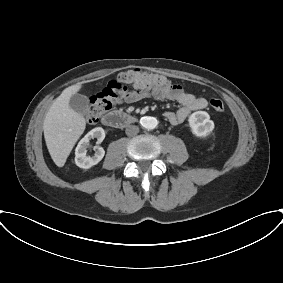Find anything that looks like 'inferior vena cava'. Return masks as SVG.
Returning a JSON list of instances; mask_svg holds the SVG:
<instances>
[{
	"instance_id": "inferior-vena-cava-1",
	"label": "inferior vena cava",
	"mask_w": 283,
	"mask_h": 283,
	"mask_svg": "<svg viewBox=\"0 0 283 283\" xmlns=\"http://www.w3.org/2000/svg\"><path fill=\"white\" fill-rule=\"evenodd\" d=\"M138 132H139V128H138V126H135V125H129L125 130V133L128 136H134Z\"/></svg>"
}]
</instances>
